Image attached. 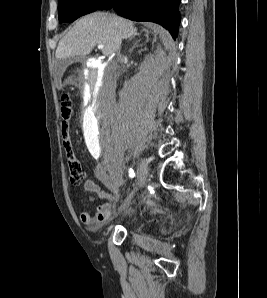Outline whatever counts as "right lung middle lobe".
Here are the masks:
<instances>
[{
  "mask_svg": "<svg viewBox=\"0 0 267 298\" xmlns=\"http://www.w3.org/2000/svg\"><path fill=\"white\" fill-rule=\"evenodd\" d=\"M105 0H58L59 21L72 22L94 12Z\"/></svg>",
  "mask_w": 267,
  "mask_h": 298,
  "instance_id": "dd1d6c3e",
  "label": "right lung middle lobe"
}]
</instances>
